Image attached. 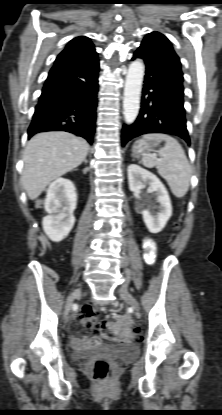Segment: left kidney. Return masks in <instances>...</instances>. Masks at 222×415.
I'll return each mask as SVG.
<instances>
[{"mask_svg":"<svg viewBox=\"0 0 222 415\" xmlns=\"http://www.w3.org/2000/svg\"><path fill=\"white\" fill-rule=\"evenodd\" d=\"M129 188L134 193H140L146 185L149 191L154 192L159 202V213L156 216L144 209L142 210L143 220L151 233H159L166 225L172 215L171 200L164 184L153 173L141 168L136 164L128 166Z\"/></svg>","mask_w":222,"mask_h":415,"instance_id":"left-kidney-1","label":"left kidney"}]
</instances>
